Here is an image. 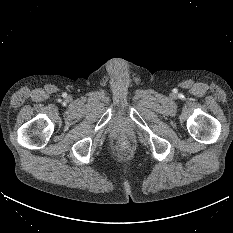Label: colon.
<instances>
[{
    "label": "colon",
    "mask_w": 233,
    "mask_h": 233,
    "mask_svg": "<svg viewBox=\"0 0 233 233\" xmlns=\"http://www.w3.org/2000/svg\"><path fill=\"white\" fill-rule=\"evenodd\" d=\"M117 149L120 151V152H127L128 151V145L127 143L125 142H119L118 145H117Z\"/></svg>",
    "instance_id": "obj_1"
}]
</instances>
